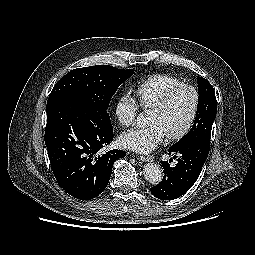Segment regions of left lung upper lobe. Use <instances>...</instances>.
<instances>
[{
  "mask_svg": "<svg viewBox=\"0 0 255 255\" xmlns=\"http://www.w3.org/2000/svg\"><path fill=\"white\" fill-rule=\"evenodd\" d=\"M198 106L194 125L189 133L183 136L172 148H179L194 143L210 144L213 121L216 117L217 102L212 85L202 77H197Z\"/></svg>",
  "mask_w": 255,
  "mask_h": 255,
  "instance_id": "5c2ea615",
  "label": "left lung upper lobe"
}]
</instances>
